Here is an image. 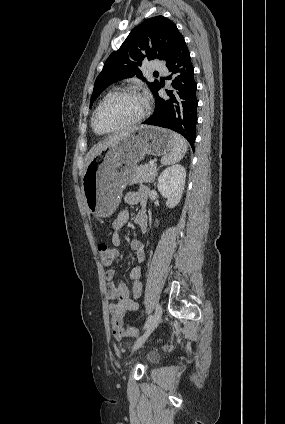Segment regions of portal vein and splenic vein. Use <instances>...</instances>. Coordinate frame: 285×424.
<instances>
[{"label": "portal vein and splenic vein", "instance_id": "1", "mask_svg": "<svg viewBox=\"0 0 285 424\" xmlns=\"http://www.w3.org/2000/svg\"><path fill=\"white\" fill-rule=\"evenodd\" d=\"M149 164H150V165H153V164H154V161H150V162H149Z\"/></svg>", "mask_w": 285, "mask_h": 424}]
</instances>
